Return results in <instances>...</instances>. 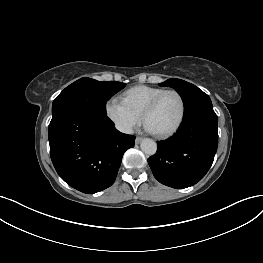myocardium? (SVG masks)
Masks as SVG:
<instances>
[{"instance_id": "1", "label": "myocardium", "mask_w": 263, "mask_h": 263, "mask_svg": "<svg viewBox=\"0 0 263 263\" xmlns=\"http://www.w3.org/2000/svg\"><path fill=\"white\" fill-rule=\"evenodd\" d=\"M168 93H174L178 96V98L180 100V104H181V113H180L178 121L176 122V124L171 129H169L168 131L162 132V133H156L155 132V134L160 138H168V137L174 135L179 130V128L181 127V125L184 121V118L186 115V102H185V99H184V96L182 95V93L176 89H165L162 92H160L158 95H156L148 103V105L145 107V109L142 113V119L146 125L147 124L146 120H147L148 115L156 108V106L158 105L160 100Z\"/></svg>"}]
</instances>
